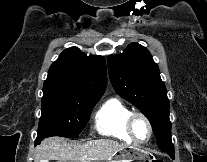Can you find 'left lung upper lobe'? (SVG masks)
<instances>
[{
	"label": "left lung upper lobe",
	"mask_w": 207,
	"mask_h": 162,
	"mask_svg": "<svg viewBox=\"0 0 207 162\" xmlns=\"http://www.w3.org/2000/svg\"><path fill=\"white\" fill-rule=\"evenodd\" d=\"M108 69L115 91L149 119L160 150L173 149L167 90L149 51L131 43L108 57Z\"/></svg>",
	"instance_id": "5c2ea615"
}]
</instances>
